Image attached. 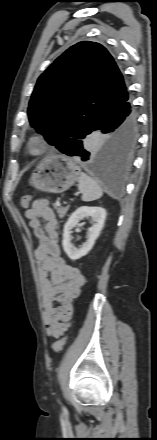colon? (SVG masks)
<instances>
[{
    "label": "colon",
    "mask_w": 157,
    "mask_h": 440,
    "mask_svg": "<svg viewBox=\"0 0 157 440\" xmlns=\"http://www.w3.org/2000/svg\"><path fill=\"white\" fill-rule=\"evenodd\" d=\"M31 199H32V198H31L30 195H24V196L21 198V206H22L23 208H28L29 205H30ZM65 343H66V337H63V338L57 340V341L53 344V346H52V350H53L54 352H56V353H57V352H60V351L63 349Z\"/></svg>",
    "instance_id": "colon-1"
}]
</instances>
